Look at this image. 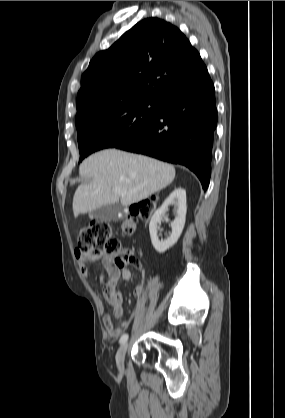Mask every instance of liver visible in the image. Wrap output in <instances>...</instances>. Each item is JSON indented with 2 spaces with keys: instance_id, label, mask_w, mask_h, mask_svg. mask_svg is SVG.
<instances>
[{
  "instance_id": "obj_1",
  "label": "liver",
  "mask_w": 285,
  "mask_h": 418,
  "mask_svg": "<svg viewBox=\"0 0 285 418\" xmlns=\"http://www.w3.org/2000/svg\"><path fill=\"white\" fill-rule=\"evenodd\" d=\"M79 174L92 180L77 187L74 216L108 204L129 206L139 202L168 186L175 178V168L147 156L106 149L86 158Z\"/></svg>"
}]
</instances>
